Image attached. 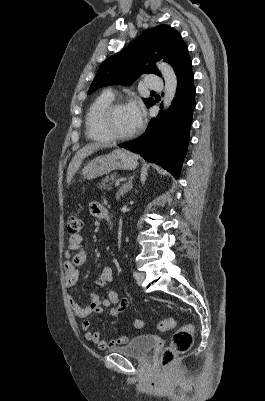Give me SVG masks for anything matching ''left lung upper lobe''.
<instances>
[{"label":"left lung upper lobe","instance_id":"left-lung-upper-lobe-1","mask_svg":"<svg viewBox=\"0 0 265 401\" xmlns=\"http://www.w3.org/2000/svg\"><path fill=\"white\" fill-rule=\"evenodd\" d=\"M189 57L188 48L181 35L168 25H159L144 31L136 40L119 53L106 59L96 74L88 94L107 85H131L141 74L161 76L155 61L164 59L174 71ZM147 107L154 100L143 99Z\"/></svg>","mask_w":265,"mask_h":401}]
</instances>
